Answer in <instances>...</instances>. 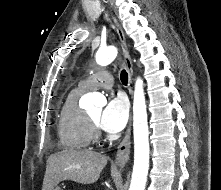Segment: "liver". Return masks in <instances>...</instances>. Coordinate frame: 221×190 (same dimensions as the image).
<instances>
[{"label":"liver","mask_w":221,"mask_h":190,"mask_svg":"<svg viewBox=\"0 0 221 190\" xmlns=\"http://www.w3.org/2000/svg\"><path fill=\"white\" fill-rule=\"evenodd\" d=\"M107 157L87 149H65L48 157L42 190H54L61 181L91 184L98 180Z\"/></svg>","instance_id":"1"}]
</instances>
